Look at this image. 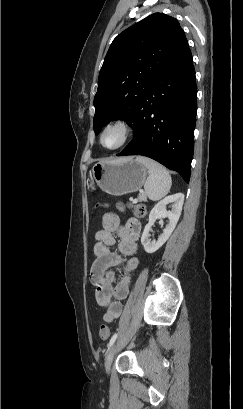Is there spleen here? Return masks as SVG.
Returning a JSON list of instances; mask_svg holds the SVG:
<instances>
[{"label": "spleen", "mask_w": 243, "mask_h": 409, "mask_svg": "<svg viewBox=\"0 0 243 409\" xmlns=\"http://www.w3.org/2000/svg\"><path fill=\"white\" fill-rule=\"evenodd\" d=\"M136 161L143 164L149 172L144 184L148 198L157 201L168 194L172 184L169 172L162 165L149 158L137 156Z\"/></svg>", "instance_id": "3e777b00"}]
</instances>
